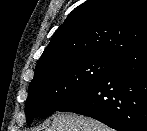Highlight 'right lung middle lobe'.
<instances>
[{
    "mask_svg": "<svg viewBox=\"0 0 147 131\" xmlns=\"http://www.w3.org/2000/svg\"><path fill=\"white\" fill-rule=\"evenodd\" d=\"M116 60L91 57L65 63L34 75L29 85L25 115L30 124L35 116H45L71 103L114 66Z\"/></svg>",
    "mask_w": 147,
    "mask_h": 131,
    "instance_id": "1",
    "label": "right lung middle lobe"
}]
</instances>
